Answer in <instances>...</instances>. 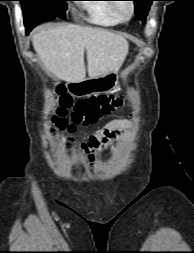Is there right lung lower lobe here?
Wrapping results in <instances>:
<instances>
[{"label":"right lung lower lobe","mask_w":194,"mask_h":253,"mask_svg":"<svg viewBox=\"0 0 194 253\" xmlns=\"http://www.w3.org/2000/svg\"><path fill=\"white\" fill-rule=\"evenodd\" d=\"M26 34H28L34 27L25 24Z\"/></svg>","instance_id":"right-lung-lower-lobe-1"}]
</instances>
